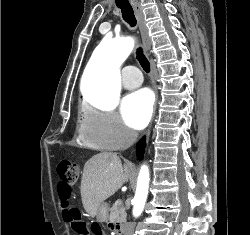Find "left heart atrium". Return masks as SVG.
Masks as SVG:
<instances>
[{"label": "left heart atrium", "mask_w": 250, "mask_h": 235, "mask_svg": "<svg viewBox=\"0 0 250 235\" xmlns=\"http://www.w3.org/2000/svg\"><path fill=\"white\" fill-rule=\"evenodd\" d=\"M153 96L147 89H141L127 95L121 102L124 121L133 129H142L151 118Z\"/></svg>", "instance_id": "left-heart-atrium-1"}]
</instances>
